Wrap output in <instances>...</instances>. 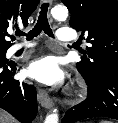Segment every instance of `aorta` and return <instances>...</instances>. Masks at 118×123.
I'll list each match as a JSON object with an SVG mask.
<instances>
[{
  "mask_svg": "<svg viewBox=\"0 0 118 123\" xmlns=\"http://www.w3.org/2000/svg\"><path fill=\"white\" fill-rule=\"evenodd\" d=\"M52 16L59 20L65 21L68 17V9L65 6H55L51 10ZM59 116L57 109L47 114L44 123H58Z\"/></svg>",
  "mask_w": 118,
  "mask_h": 123,
  "instance_id": "obj_1",
  "label": "aorta"
}]
</instances>
